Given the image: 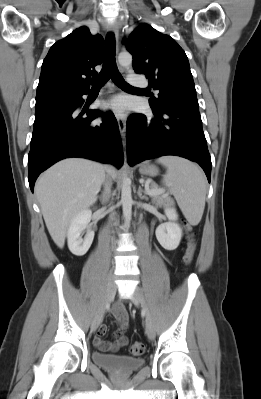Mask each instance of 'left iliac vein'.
Returning <instances> with one entry per match:
<instances>
[{
	"mask_svg": "<svg viewBox=\"0 0 261 399\" xmlns=\"http://www.w3.org/2000/svg\"><path fill=\"white\" fill-rule=\"evenodd\" d=\"M131 300L136 306H141L143 308V311L145 313V330L146 334L149 339H154L155 337V326L154 322L152 320L151 314L148 310L144 295L142 291L139 288H135Z\"/></svg>",
	"mask_w": 261,
	"mask_h": 399,
	"instance_id": "1",
	"label": "left iliac vein"
}]
</instances>
